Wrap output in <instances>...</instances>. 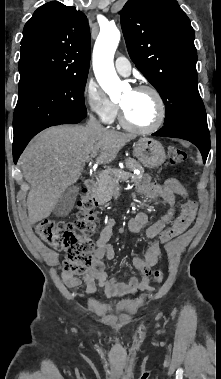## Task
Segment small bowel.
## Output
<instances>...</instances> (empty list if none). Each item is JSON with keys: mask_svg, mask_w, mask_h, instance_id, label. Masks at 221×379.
I'll return each mask as SVG.
<instances>
[{"mask_svg": "<svg viewBox=\"0 0 221 379\" xmlns=\"http://www.w3.org/2000/svg\"><path fill=\"white\" fill-rule=\"evenodd\" d=\"M137 191L147 198H160L169 205L168 212L157 222L148 225V217L145 213L136 214L128 224L130 232L137 233L145 231L148 239L152 240L144 249L142 257H134L133 265L141 275V280L135 276H130L127 282L116 277H110L103 260H113L115 250L109 243L113 233L115 220L109 219L105 227L101 230L96 242V249L93 252L89 269L82 277L71 273H63L62 279L69 288H75L82 283L85 284L86 291L82 297H90L100 287L108 298L133 297L142 292L148 291V281L151 268L158 262L160 246L156 237L170 223L174 215L175 197L187 198V191L184 186L175 178H168L162 183H152L148 177H144L137 184Z\"/></svg>", "mask_w": 221, "mask_h": 379, "instance_id": "small-bowel-1", "label": "small bowel"}]
</instances>
